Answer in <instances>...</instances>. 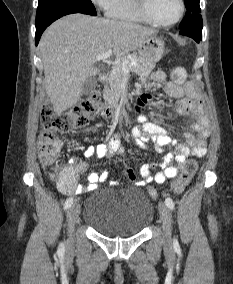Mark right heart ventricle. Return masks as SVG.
Here are the masks:
<instances>
[{"instance_id": "e07e8e85", "label": "right heart ventricle", "mask_w": 233, "mask_h": 284, "mask_svg": "<svg viewBox=\"0 0 233 284\" xmlns=\"http://www.w3.org/2000/svg\"><path fill=\"white\" fill-rule=\"evenodd\" d=\"M106 13L109 18L132 23L149 24L138 7L137 0H110Z\"/></svg>"}]
</instances>
